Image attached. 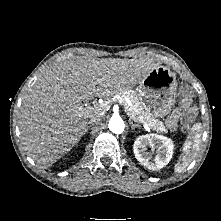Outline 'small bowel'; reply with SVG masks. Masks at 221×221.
<instances>
[{
	"label": "small bowel",
	"mask_w": 221,
	"mask_h": 221,
	"mask_svg": "<svg viewBox=\"0 0 221 221\" xmlns=\"http://www.w3.org/2000/svg\"><path fill=\"white\" fill-rule=\"evenodd\" d=\"M188 108H193L191 105V99L190 100L183 99L180 104V107L176 108L167 119V125L170 129L173 130L176 128L177 121L180 118L182 110H185Z\"/></svg>",
	"instance_id": "obj_1"
}]
</instances>
